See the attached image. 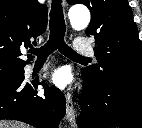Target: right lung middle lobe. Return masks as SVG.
I'll use <instances>...</instances> for the list:
<instances>
[{"label": "right lung middle lobe", "mask_w": 142, "mask_h": 128, "mask_svg": "<svg viewBox=\"0 0 142 128\" xmlns=\"http://www.w3.org/2000/svg\"><path fill=\"white\" fill-rule=\"evenodd\" d=\"M24 76V69L0 71V88L15 84Z\"/></svg>", "instance_id": "dd1d6c3e"}]
</instances>
